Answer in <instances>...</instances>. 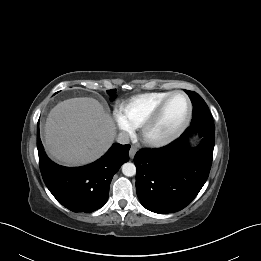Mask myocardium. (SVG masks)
I'll use <instances>...</instances> for the list:
<instances>
[{
    "mask_svg": "<svg viewBox=\"0 0 261 261\" xmlns=\"http://www.w3.org/2000/svg\"><path fill=\"white\" fill-rule=\"evenodd\" d=\"M176 95L183 96L187 102L188 110L184 122L175 131H173L168 135L154 136L152 134L154 127L156 126L159 119L161 118L170 99ZM192 115H193V104L189 96L181 90L170 92L156 107V109L153 111L150 117L140 127L141 128L140 139L145 145L151 147H160V146L167 145L173 142L174 140H176L177 138H179L186 131V129L189 127L191 123Z\"/></svg>",
    "mask_w": 261,
    "mask_h": 261,
    "instance_id": "myocardium-1",
    "label": "myocardium"
}]
</instances>
